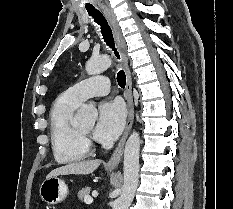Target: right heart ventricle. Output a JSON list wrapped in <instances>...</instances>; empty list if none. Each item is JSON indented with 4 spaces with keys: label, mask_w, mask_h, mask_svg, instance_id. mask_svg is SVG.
Instances as JSON below:
<instances>
[{
    "label": "right heart ventricle",
    "mask_w": 233,
    "mask_h": 209,
    "mask_svg": "<svg viewBox=\"0 0 233 209\" xmlns=\"http://www.w3.org/2000/svg\"><path fill=\"white\" fill-rule=\"evenodd\" d=\"M79 105L67 92L62 93L52 105L49 118L50 139L54 158L58 163L78 162L88 155L79 129L72 123Z\"/></svg>",
    "instance_id": "e07e8e85"
}]
</instances>
